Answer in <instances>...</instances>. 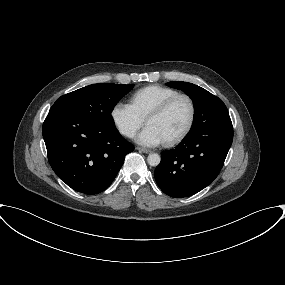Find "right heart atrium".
Instances as JSON below:
<instances>
[{"label": "right heart atrium", "instance_id": "right-heart-atrium-1", "mask_svg": "<svg viewBox=\"0 0 285 285\" xmlns=\"http://www.w3.org/2000/svg\"><path fill=\"white\" fill-rule=\"evenodd\" d=\"M111 119L119 133L128 138L133 137L145 121L131 104L122 101L112 107Z\"/></svg>", "mask_w": 285, "mask_h": 285}]
</instances>
